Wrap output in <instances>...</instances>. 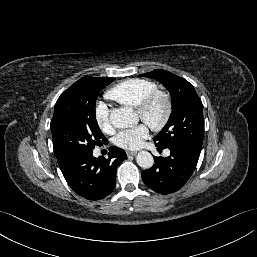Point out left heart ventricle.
Returning <instances> with one entry per match:
<instances>
[{
  "instance_id": "obj_1",
  "label": "left heart ventricle",
  "mask_w": 257,
  "mask_h": 257,
  "mask_svg": "<svg viewBox=\"0 0 257 257\" xmlns=\"http://www.w3.org/2000/svg\"><path fill=\"white\" fill-rule=\"evenodd\" d=\"M163 112H164L163 104L161 102L155 103L150 109V111L148 112L146 121L151 123L158 122L161 119Z\"/></svg>"
}]
</instances>
